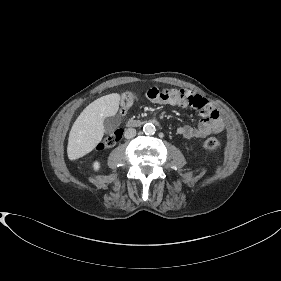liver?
<instances>
[{
	"label": "liver",
	"instance_id": "6515ba94",
	"mask_svg": "<svg viewBox=\"0 0 281 281\" xmlns=\"http://www.w3.org/2000/svg\"><path fill=\"white\" fill-rule=\"evenodd\" d=\"M119 103L120 95L112 93L96 99L81 112L69 133L70 160L85 156L97 146L104 135V119L116 115Z\"/></svg>",
	"mask_w": 281,
	"mask_h": 281
}]
</instances>
